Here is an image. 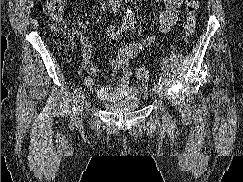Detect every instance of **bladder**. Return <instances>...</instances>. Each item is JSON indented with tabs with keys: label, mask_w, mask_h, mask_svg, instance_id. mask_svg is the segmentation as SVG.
<instances>
[{
	"label": "bladder",
	"mask_w": 243,
	"mask_h": 182,
	"mask_svg": "<svg viewBox=\"0 0 243 182\" xmlns=\"http://www.w3.org/2000/svg\"><path fill=\"white\" fill-rule=\"evenodd\" d=\"M141 101L136 96H128L116 102H104L105 111L113 114H126L137 111L140 108Z\"/></svg>",
	"instance_id": "1"
}]
</instances>
